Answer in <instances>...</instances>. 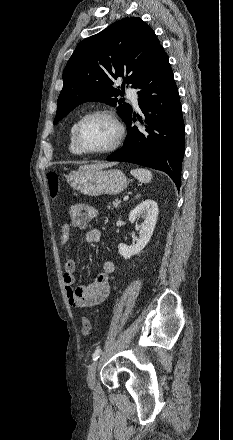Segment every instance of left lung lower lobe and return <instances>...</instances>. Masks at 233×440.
I'll use <instances>...</instances> for the list:
<instances>
[{
	"label": "left lung lower lobe",
	"instance_id": "0a47b994",
	"mask_svg": "<svg viewBox=\"0 0 233 440\" xmlns=\"http://www.w3.org/2000/svg\"><path fill=\"white\" fill-rule=\"evenodd\" d=\"M137 88L138 104L143 112L142 127L126 120L128 134L123 147L109 155L107 161H124L167 173L180 188L184 156L185 126L178 89L169 59L163 50ZM142 122V119H139Z\"/></svg>",
	"mask_w": 233,
	"mask_h": 440
}]
</instances>
